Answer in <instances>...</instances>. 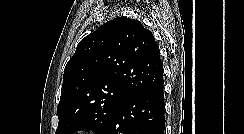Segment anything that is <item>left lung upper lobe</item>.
<instances>
[{
    "label": "left lung upper lobe",
    "mask_w": 244,
    "mask_h": 134,
    "mask_svg": "<svg viewBox=\"0 0 244 134\" xmlns=\"http://www.w3.org/2000/svg\"><path fill=\"white\" fill-rule=\"evenodd\" d=\"M163 82L153 34L127 17L106 22L79 42L65 67L56 134L86 126L104 134L125 99Z\"/></svg>",
    "instance_id": "obj_1"
}]
</instances>
